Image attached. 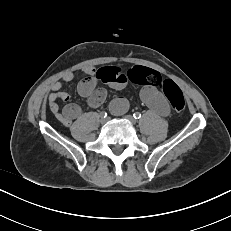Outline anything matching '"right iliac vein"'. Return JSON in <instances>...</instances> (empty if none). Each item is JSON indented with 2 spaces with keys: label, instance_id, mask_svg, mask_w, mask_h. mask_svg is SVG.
Segmentation results:
<instances>
[{
  "label": "right iliac vein",
  "instance_id": "63e3f726",
  "mask_svg": "<svg viewBox=\"0 0 231 231\" xmlns=\"http://www.w3.org/2000/svg\"><path fill=\"white\" fill-rule=\"evenodd\" d=\"M107 121H108V118H101V119H100V122H101L102 124L107 123Z\"/></svg>",
  "mask_w": 231,
  "mask_h": 231
}]
</instances>
